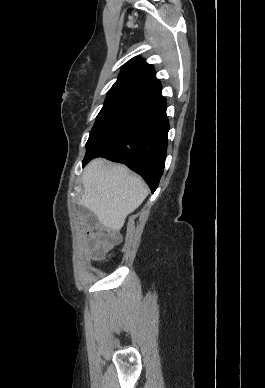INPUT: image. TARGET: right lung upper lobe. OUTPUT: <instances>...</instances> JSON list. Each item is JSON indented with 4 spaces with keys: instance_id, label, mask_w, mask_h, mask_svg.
<instances>
[{
    "instance_id": "cb5924a9",
    "label": "right lung upper lobe",
    "mask_w": 265,
    "mask_h": 388,
    "mask_svg": "<svg viewBox=\"0 0 265 388\" xmlns=\"http://www.w3.org/2000/svg\"><path fill=\"white\" fill-rule=\"evenodd\" d=\"M161 89L152 65L140 57H134L123 66L118 80L108 93L130 95L150 102L161 95Z\"/></svg>"
}]
</instances>
